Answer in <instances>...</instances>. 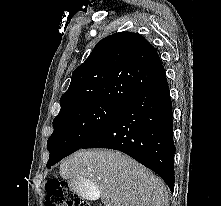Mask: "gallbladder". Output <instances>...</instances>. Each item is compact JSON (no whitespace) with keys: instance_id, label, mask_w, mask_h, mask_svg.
Masks as SVG:
<instances>
[{"instance_id":"bac80fb5","label":"gallbladder","mask_w":221,"mask_h":206,"mask_svg":"<svg viewBox=\"0 0 221 206\" xmlns=\"http://www.w3.org/2000/svg\"><path fill=\"white\" fill-rule=\"evenodd\" d=\"M74 194H78V198H86V202H97L99 198V189L97 185H93V181H71Z\"/></svg>"}]
</instances>
